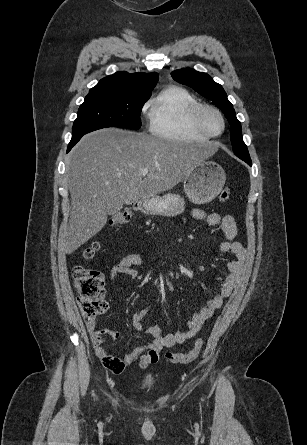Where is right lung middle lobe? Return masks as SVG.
Instances as JSON below:
<instances>
[{
	"label": "right lung middle lobe",
	"instance_id": "dd1d6c3e",
	"mask_svg": "<svg viewBox=\"0 0 307 445\" xmlns=\"http://www.w3.org/2000/svg\"><path fill=\"white\" fill-rule=\"evenodd\" d=\"M148 99L112 95L86 96L74 121L72 137L106 127L139 129L140 112Z\"/></svg>",
	"mask_w": 307,
	"mask_h": 445
}]
</instances>
